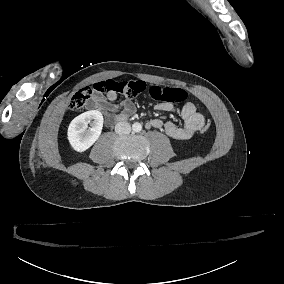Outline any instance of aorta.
Masks as SVG:
<instances>
[{"label":"aorta","instance_id":"aorta-1","mask_svg":"<svg viewBox=\"0 0 284 284\" xmlns=\"http://www.w3.org/2000/svg\"><path fill=\"white\" fill-rule=\"evenodd\" d=\"M132 129L134 132H140L142 130V125L136 122L132 125Z\"/></svg>","mask_w":284,"mask_h":284}]
</instances>
